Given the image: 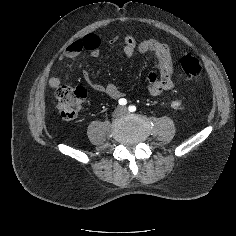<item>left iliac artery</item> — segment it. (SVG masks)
Instances as JSON below:
<instances>
[{
  "label": "left iliac artery",
  "mask_w": 236,
  "mask_h": 236,
  "mask_svg": "<svg viewBox=\"0 0 236 236\" xmlns=\"http://www.w3.org/2000/svg\"><path fill=\"white\" fill-rule=\"evenodd\" d=\"M128 109H129L130 112H134V111L136 110V107L133 106V105H130V106L128 107Z\"/></svg>",
  "instance_id": "obj_1"
}]
</instances>
